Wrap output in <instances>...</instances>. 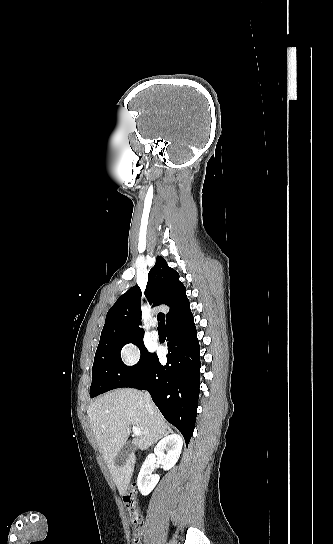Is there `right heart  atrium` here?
<instances>
[{
  "label": "right heart atrium",
  "instance_id": "right-heart-atrium-1",
  "mask_svg": "<svg viewBox=\"0 0 333 544\" xmlns=\"http://www.w3.org/2000/svg\"><path fill=\"white\" fill-rule=\"evenodd\" d=\"M140 352L133 342L123 344L119 349V358L125 367H132L139 361Z\"/></svg>",
  "mask_w": 333,
  "mask_h": 544
}]
</instances>
